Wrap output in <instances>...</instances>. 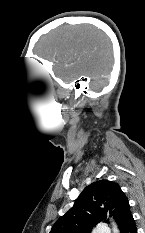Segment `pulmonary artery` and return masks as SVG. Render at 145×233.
Wrapping results in <instances>:
<instances>
[{
	"mask_svg": "<svg viewBox=\"0 0 145 233\" xmlns=\"http://www.w3.org/2000/svg\"><path fill=\"white\" fill-rule=\"evenodd\" d=\"M95 233H110V231L106 228V225L104 223H100L97 226Z\"/></svg>",
	"mask_w": 145,
	"mask_h": 233,
	"instance_id": "obj_1",
	"label": "pulmonary artery"
}]
</instances>
